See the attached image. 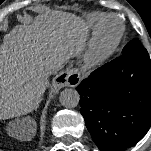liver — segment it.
<instances>
[{
  "label": "liver",
  "mask_w": 151,
  "mask_h": 151,
  "mask_svg": "<svg viewBox=\"0 0 151 151\" xmlns=\"http://www.w3.org/2000/svg\"><path fill=\"white\" fill-rule=\"evenodd\" d=\"M87 24L71 13L52 11L32 25H17L0 46V120L36 109L53 65L63 64L83 48ZM36 134V124L26 139Z\"/></svg>",
  "instance_id": "6515ba94"
}]
</instances>
